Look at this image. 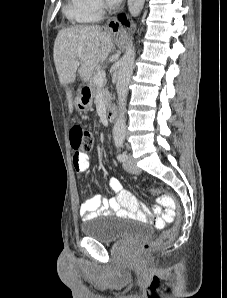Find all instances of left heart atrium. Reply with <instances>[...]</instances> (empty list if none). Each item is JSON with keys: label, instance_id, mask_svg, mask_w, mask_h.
<instances>
[{"label": "left heart atrium", "instance_id": "obj_1", "mask_svg": "<svg viewBox=\"0 0 227 298\" xmlns=\"http://www.w3.org/2000/svg\"><path fill=\"white\" fill-rule=\"evenodd\" d=\"M120 0H106L107 3L109 4H116L118 3Z\"/></svg>", "mask_w": 227, "mask_h": 298}]
</instances>
